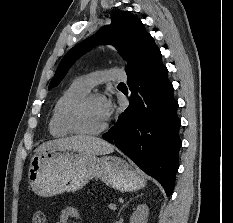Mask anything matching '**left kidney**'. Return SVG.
<instances>
[{
	"mask_svg": "<svg viewBox=\"0 0 233 223\" xmlns=\"http://www.w3.org/2000/svg\"><path fill=\"white\" fill-rule=\"evenodd\" d=\"M149 215V207L146 203L137 205L135 211L130 215V223H147Z\"/></svg>",
	"mask_w": 233,
	"mask_h": 223,
	"instance_id": "5707ae66",
	"label": "left kidney"
}]
</instances>
